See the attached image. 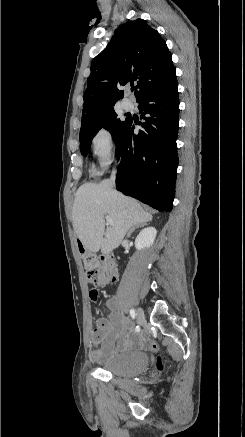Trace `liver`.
<instances>
[{"instance_id":"liver-1","label":"liver","mask_w":245,"mask_h":437,"mask_svg":"<svg viewBox=\"0 0 245 437\" xmlns=\"http://www.w3.org/2000/svg\"><path fill=\"white\" fill-rule=\"evenodd\" d=\"M105 216L113 221L106 229ZM151 220L152 215L133 198L117 192L111 180L83 184L76 192L72 224L77 237L90 252L110 253L120 245L130 228Z\"/></svg>"}]
</instances>
